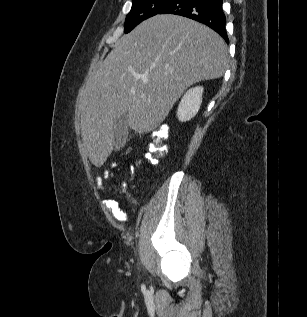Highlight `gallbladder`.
I'll list each match as a JSON object with an SVG mask.
<instances>
[{
	"instance_id": "obj_1",
	"label": "gallbladder",
	"mask_w": 307,
	"mask_h": 317,
	"mask_svg": "<svg viewBox=\"0 0 307 317\" xmlns=\"http://www.w3.org/2000/svg\"><path fill=\"white\" fill-rule=\"evenodd\" d=\"M128 122L127 114L122 115L118 118L113 127V147L115 150H120L128 138Z\"/></svg>"
}]
</instances>
